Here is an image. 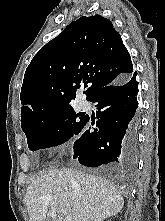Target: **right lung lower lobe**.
<instances>
[{
  "label": "right lung lower lobe",
  "instance_id": "right-lung-lower-lobe-1",
  "mask_svg": "<svg viewBox=\"0 0 165 221\" xmlns=\"http://www.w3.org/2000/svg\"><path fill=\"white\" fill-rule=\"evenodd\" d=\"M137 73L128 79L99 89L89 101L97 102L98 121L94 131L86 130V123L76 134L81 136L74 142V156L88 167L115 164L133 169L137 162L138 81Z\"/></svg>",
  "mask_w": 165,
  "mask_h": 221
}]
</instances>
